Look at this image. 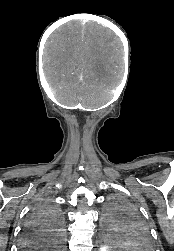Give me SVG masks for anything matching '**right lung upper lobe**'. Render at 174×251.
<instances>
[{
	"label": "right lung upper lobe",
	"mask_w": 174,
	"mask_h": 251,
	"mask_svg": "<svg viewBox=\"0 0 174 251\" xmlns=\"http://www.w3.org/2000/svg\"><path fill=\"white\" fill-rule=\"evenodd\" d=\"M26 241L22 243L21 248L24 250H42L46 247L47 242L41 241L39 235L34 232L29 237H26Z\"/></svg>",
	"instance_id": "1"
}]
</instances>
